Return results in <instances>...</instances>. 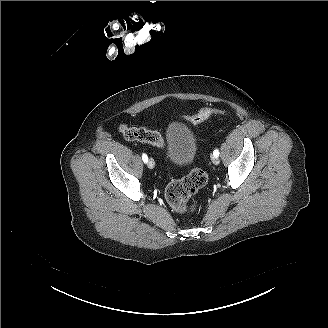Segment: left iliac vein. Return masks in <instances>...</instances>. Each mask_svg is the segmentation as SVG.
<instances>
[{
  "instance_id": "left-iliac-vein-1",
  "label": "left iliac vein",
  "mask_w": 328,
  "mask_h": 328,
  "mask_svg": "<svg viewBox=\"0 0 328 328\" xmlns=\"http://www.w3.org/2000/svg\"><path fill=\"white\" fill-rule=\"evenodd\" d=\"M212 162L215 164V165H218L219 164V159L215 156H212L211 158Z\"/></svg>"
}]
</instances>
